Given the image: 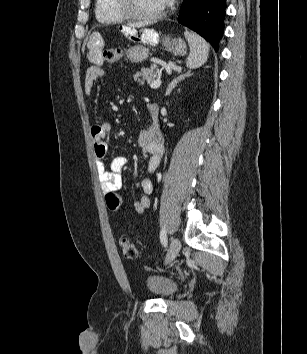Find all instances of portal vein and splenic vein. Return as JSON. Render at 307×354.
<instances>
[{"mask_svg":"<svg viewBox=\"0 0 307 354\" xmlns=\"http://www.w3.org/2000/svg\"><path fill=\"white\" fill-rule=\"evenodd\" d=\"M161 83H162L161 79L158 78V79L154 80V81L150 84V87H151L152 89H156V88L160 87Z\"/></svg>","mask_w":307,"mask_h":354,"instance_id":"obj_1","label":"portal vein and splenic vein"}]
</instances>
